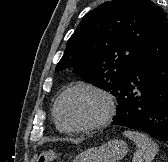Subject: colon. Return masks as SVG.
Returning <instances> with one entry per match:
<instances>
[{"instance_id":"5ec220e1","label":"colon","mask_w":168,"mask_h":162,"mask_svg":"<svg viewBox=\"0 0 168 162\" xmlns=\"http://www.w3.org/2000/svg\"><path fill=\"white\" fill-rule=\"evenodd\" d=\"M58 155L56 154V152L48 150V151H44L42 152L36 162H53L55 160H57Z\"/></svg>"}]
</instances>
